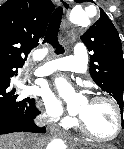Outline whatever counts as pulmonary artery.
I'll return each mask as SVG.
<instances>
[{
	"instance_id": "obj_1",
	"label": "pulmonary artery",
	"mask_w": 124,
	"mask_h": 149,
	"mask_svg": "<svg viewBox=\"0 0 124 149\" xmlns=\"http://www.w3.org/2000/svg\"><path fill=\"white\" fill-rule=\"evenodd\" d=\"M87 63L88 59L85 46L77 44L74 47L72 55L39 67L35 71V74L47 75L58 70H70L76 73L85 74L87 70Z\"/></svg>"
}]
</instances>
